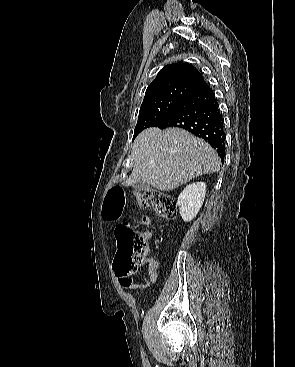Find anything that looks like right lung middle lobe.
<instances>
[{
    "label": "right lung middle lobe",
    "instance_id": "dd1d6c3e",
    "mask_svg": "<svg viewBox=\"0 0 295 367\" xmlns=\"http://www.w3.org/2000/svg\"><path fill=\"white\" fill-rule=\"evenodd\" d=\"M193 90L182 87L162 90L144 97L133 139L144 129L153 127L178 108Z\"/></svg>",
    "mask_w": 295,
    "mask_h": 367
}]
</instances>
